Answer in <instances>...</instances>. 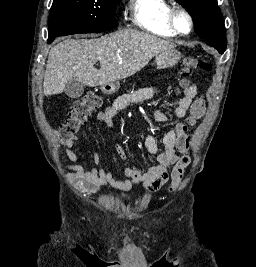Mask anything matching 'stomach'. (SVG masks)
<instances>
[{
	"instance_id": "1",
	"label": "stomach",
	"mask_w": 256,
	"mask_h": 267,
	"mask_svg": "<svg viewBox=\"0 0 256 267\" xmlns=\"http://www.w3.org/2000/svg\"><path fill=\"white\" fill-rule=\"evenodd\" d=\"M180 58V52L176 48H170V50H165V52H161L156 56V64L158 68L163 70V68H171V66L178 64Z\"/></svg>"
}]
</instances>
